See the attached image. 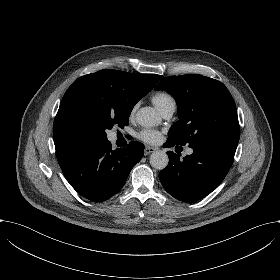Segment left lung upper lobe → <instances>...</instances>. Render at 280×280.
<instances>
[{
	"label": "left lung upper lobe",
	"mask_w": 280,
	"mask_h": 280,
	"mask_svg": "<svg viewBox=\"0 0 280 280\" xmlns=\"http://www.w3.org/2000/svg\"><path fill=\"white\" fill-rule=\"evenodd\" d=\"M155 90H165L177 102L179 120L168 138L180 145L238 144L240 126L234 99L223 83L198 74L164 78Z\"/></svg>",
	"instance_id": "5c2ea615"
}]
</instances>
